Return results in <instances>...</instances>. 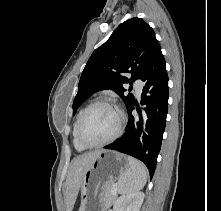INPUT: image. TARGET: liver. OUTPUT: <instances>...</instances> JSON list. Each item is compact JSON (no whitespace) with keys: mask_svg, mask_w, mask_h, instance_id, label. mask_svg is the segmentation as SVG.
Instances as JSON below:
<instances>
[{"mask_svg":"<svg viewBox=\"0 0 221 211\" xmlns=\"http://www.w3.org/2000/svg\"><path fill=\"white\" fill-rule=\"evenodd\" d=\"M101 152L102 151L89 152L77 156L72 160L65 183L67 211L73 210L84 173Z\"/></svg>","mask_w":221,"mask_h":211,"instance_id":"obj_1","label":"liver"}]
</instances>
